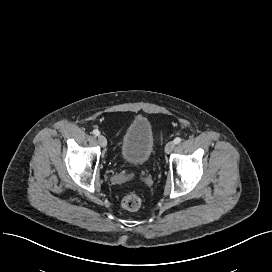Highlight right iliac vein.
I'll return each instance as SVG.
<instances>
[{
  "mask_svg": "<svg viewBox=\"0 0 272 272\" xmlns=\"http://www.w3.org/2000/svg\"><path fill=\"white\" fill-rule=\"evenodd\" d=\"M98 141H99V143H100V145L102 147H106L107 146V140H106V138L103 135H99L98 136Z\"/></svg>",
  "mask_w": 272,
  "mask_h": 272,
  "instance_id": "1",
  "label": "right iliac vein"
}]
</instances>
